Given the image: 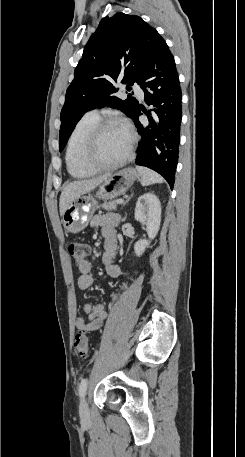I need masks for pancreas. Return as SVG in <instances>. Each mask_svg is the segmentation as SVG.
Returning <instances> with one entry per match:
<instances>
[{
  "instance_id": "cf45deb5",
  "label": "pancreas",
  "mask_w": 245,
  "mask_h": 457,
  "mask_svg": "<svg viewBox=\"0 0 245 457\" xmlns=\"http://www.w3.org/2000/svg\"><path fill=\"white\" fill-rule=\"evenodd\" d=\"M117 204H122V202H117V200H109V202H103V204H98L97 208H105V210H116Z\"/></svg>"
}]
</instances>
